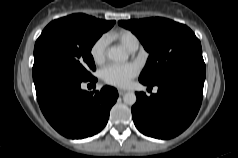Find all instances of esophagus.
<instances>
[{
    "instance_id": "34e87169",
    "label": "esophagus",
    "mask_w": 238,
    "mask_h": 158,
    "mask_svg": "<svg viewBox=\"0 0 238 158\" xmlns=\"http://www.w3.org/2000/svg\"><path fill=\"white\" fill-rule=\"evenodd\" d=\"M125 93H126L125 90H118V94H119L120 96L124 95Z\"/></svg>"
}]
</instances>
